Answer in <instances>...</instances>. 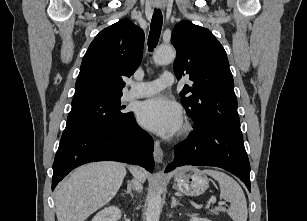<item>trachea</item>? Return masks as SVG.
Listing matches in <instances>:
<instances>
[{"mask_svg": "<svg viewBox=\"0 0 307 221\" xmlns=\"http://www.w3.org/2000/svg\"><path fill=\"white\" fill-rule=\"evenodd\" d=\"M162 23H163L162 13L160 10L155 9L151 20L150 33L148 37V47L150 52L153 51V49L158 44L162 29Z\"/></svg>", "mask_w": 307, "mask_h": 221, "instance_id": "obj_1", "label": "trachea"}]
</instances>
